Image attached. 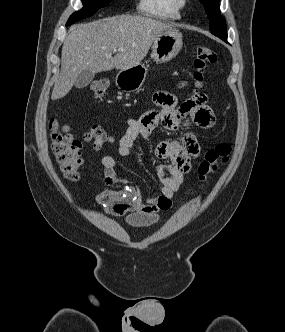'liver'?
<instances>
[{
    "label": "liver",
    "instance_id": "obj_1",
    "mask_svg": "<svg viewBox=\"0 0 285 332\" xmlns=\"http://www.w3.org/2000/svg\"><path fill=\"white\" fill-rule=\"evenodd\" d=\"M173 26L149 17L119 15L74 25L64 40L61 71L51 99L66 96L81 72L126 70L144 59L158 36ZM123 51L112 57L114 49Z\"/></svg>",
    "mask_w": 285,
    "mask_h": 332
}]
</instances>
